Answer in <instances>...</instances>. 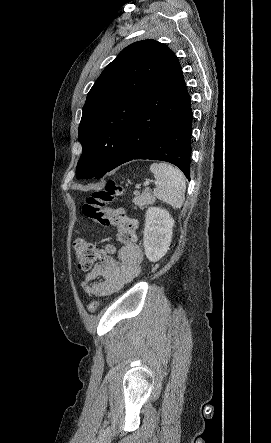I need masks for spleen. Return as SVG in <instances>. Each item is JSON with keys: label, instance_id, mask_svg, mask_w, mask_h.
Masks as SVG:
<instances>
[{"label": "spleen", "instance_id": "3e777b00", "mask_svg": "<svg viewBox=\"0 0 271 443\" xmlns=\"http://www.w3.org/2000/svg\"><path fill=\"white\" fill-rule=\"evenodd\" d=\"M150 172L157 182L154 188L156 198L172 208H182L186 192L184 174L170 164H151Z\"/></svg>", "mask_w": 271, "mask_h": 443}]
</instances>
